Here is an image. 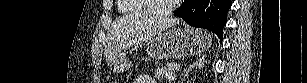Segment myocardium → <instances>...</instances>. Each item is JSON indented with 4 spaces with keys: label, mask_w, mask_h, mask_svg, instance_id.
Here are the masks:
<instances>
[{
    "label": "myocardium",
    "mask_w": 307,
    "mask_h": 83,
    "mask_svg": "<svg viewBox=\"0 0 307 83\" xmlns=\"http://www.w3.org/2000/svg\"><path fill=\"white\" fill-rule=\"evenodd\" d=\"M148 9L152 10L157 15H167L170 14L180 2L179 0H172V2L168 3L163 8H157L154 6V0H142Z\"/></svg>",
    "instance_id": "myocardium-1"
}]
</instances>
